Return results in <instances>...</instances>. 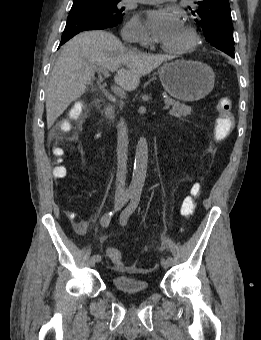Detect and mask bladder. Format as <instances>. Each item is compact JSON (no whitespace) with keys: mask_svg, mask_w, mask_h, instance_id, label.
<instances>
[{"mask_svg":"<svg viewBox=\"0 0 261 340\" xmlns=\"http://www.w3.org/2000/svg\"><path fill=\"white\" fill-rule=\"evenodd\" d=\"M112 282L117 291L125 295L145 294L149 290L148 283L145 280L129 275L115 276Z\"/></svg>","mask_w":261,"mask_h":340,"instance_id":"bladder-1","label":"bladder"}]
</instances>
